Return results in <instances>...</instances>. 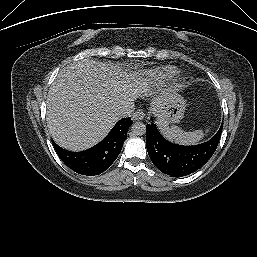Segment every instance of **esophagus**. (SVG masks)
Segmentation results:
<instances>
[{
  "mask_svg": "<svg viewBox=\"0 0 257 257\" xmlns=\"http://www.w3.org/2000/svg\"><path fill=\"white\" fill-rule=\"evenodd\" d=\"M144 118V113L142 111H136L133 115H132V120L133 121H141Z\"/></svg>",
  "mask_w": 257,
  "mask_h": 257,
  "instance_id": "obj_1",
  "label": "esophagus"
}]
</instances>
